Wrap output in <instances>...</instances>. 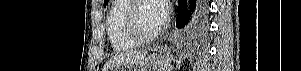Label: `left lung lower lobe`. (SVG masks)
Listing matches in <instances>:
<instances>
[{
	"label": "left lung lower lobe",
	"mask_w": 301,
	"mask_h": 71,
	"mask_svg": "<svg viewBox=\"0 0 301 71\" xmlns=\"http://www.w3.org/2000/svg\"><path fill=\"white\" fill-rule=\"evenodd\" d=\"M178 3L177 27L184 28L188 24L189 42L195 44L203 43L208 34V1L189 0V6H187V0H179Z\"/></svg>",
	"instance_id": "obj_1"
}]
</instances>
